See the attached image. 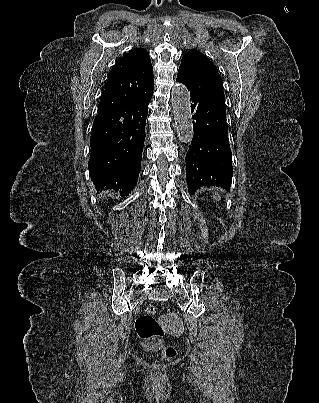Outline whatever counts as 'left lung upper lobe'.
I'll return each instance as SVG.
<instances>
[{"label": "left lung upper lobe", "mask_w": 319, "mask_h": 403, "mask_svg": "<svg viewBox=\"0 0 319 403\" xmlns=\"http://www.w3.org/2000/svg\"><path fill=\"white\" fill-rule=\"evenodd\" d=\"M179 71L200 85L223 90V81L216 67L197 50H190L182 57Z\"/></svg>", "instance_id": "obj_1"}]
</instances>
